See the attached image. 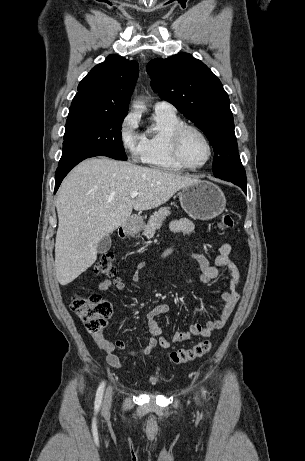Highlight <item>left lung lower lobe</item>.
I'll return each instance as SVG.
<instances>
[{"instance_id":"1","label":"left lung lower lobe","mask_w":305,"mask_h":461,"mask_svg":"<svg viewBox=\"0 0 305 461\" xmlns=\"http://www.w3.org/2000/svg\"><path fill=\"white\" fill-rule=\"evenodd\" d=\"M223 180H224V179H223ZM227 181H230V182H232V183H234V184L240 186V187L242 188V190H243L245 193H247V192H246V187H247V186H246V182H240V181H234V180H227Z\"/></svg>"}]
</instances>
